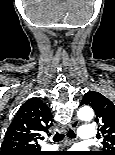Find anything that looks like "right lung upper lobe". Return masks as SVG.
Returning a JSON list of instances; mask_svg holds the SVG:
<instances>
[{
	"label": "right lung upper lobe",
	"mask_w": 115,
	"mask_h": 155,
	"mask_svg": "<svg viewBox=\"0 0 115 155\" xmlns=\"http://www.w3.org/2000/svg\"><path fill=\"white\" fill-rule=\"evenodd\" d=\"M53 126L52 114L39 98L27 100L16 113L5 134L0 155H27L40 152L41 133Z\"/></svg>",
	"instance_id": "cb5924a9"
}]
</instances>
